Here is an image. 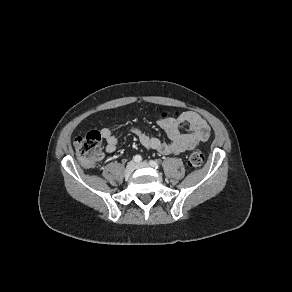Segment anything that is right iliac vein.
Listing matches in <instances>:
<instances>
[{
	"label": "right iliac vein",
	"instance_id": "right-iliac-vein-1",
	"mask_svg": "<svg viewBox=\"0 0 292 292\" xmlns=\"http://www.w3.org/2000/svg\"><path fill=\"white\" fill-rule=\"evenodd\" d=\"M136 166H135V163L134 162H129L125 168V171H124V175L126 177H129L133 171L135 170Z\"/></svg>",
	"mask_w": 292,
	"mask_h": 292
}]
</instances>
